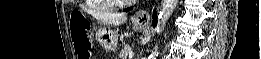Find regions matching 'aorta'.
Segmentation results:
<instances>
[{
	"mask_svg": "<svg viewBox=\"0 0 261 59\" xmlns=\"http://www.w3.org/2000/svg\"><path fill=\"white\" fill-rule=\"evenodd\" d=\"M178 0H162L159 15H158V24L156 27V31L158 33L162 32L166 27V24L172 15L173 11L177 6ZM157 49V47H156ZM152 51L150 54V59H156L158 56L157 50Z\"/></svg>",
	"mask_w": 261,
	"mask_h": 59,
	"instance_id": "aorta-1",
	"label": "aorta"
}]
</instances>
